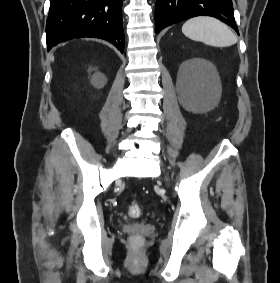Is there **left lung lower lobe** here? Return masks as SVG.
Listing matches in <instances>:
<instances>
[{"instance_id": "obj_1", "label": "left lung lower lobe", "mask_w": 280, "mask_h": 283, "mask_svg": "<svg viewBox=\"0 0 280 283\" xmlns=\"http://www.w3.org/2000/svg\"><path fill=\"white\" fill-rule=\"evenodd\" d=\"M201 15L218 18L238 33L232 0H157L156 33L167 26Z\"/></svg>"}]
</instances>
